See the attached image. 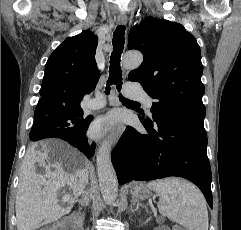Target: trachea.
Here are the masks:
<instances>
[{
  "instance_id": "1",
  "label": "trachea",
  "mask_w": 241,
  "mask_h": 230,
  "mask_svg": "<svg viewBox=\"0 0 241 230\" xmlns=\"http://www.w3.org/2000/svg\"><path fill=\"white\" fill-rule=\"evenodd\" d=\"M124 36L125 27L123 25L117 26L113 34V52L110 60L109 79L107 81L106 94H109L111 89L110 86L113 84L117 86L118 91L121 90L122 71L120 67V57L124 49ZM120 100L123 103H136L123 97H120Z\"/></svg>"
}]
</instances>
